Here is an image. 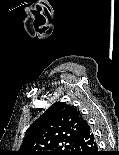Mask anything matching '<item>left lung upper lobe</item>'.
Returning a JSON list of instances; mask_svg holds the SVG:
<instances>
[{
    "instance_id": "obj_1",
    "label": "left lung upper lobe",
    "mask_w": 119,
    "mask_h": 155,
    "mask_svg": "<svg viewBox=\"0 0 119 155\" xmlns=\"http://www.w3.org/2000/svg\"><path fill=\"white\" fill-rule=\"evenodd\" d=\"M81 121L74 106L56 102L30 125L13 155H76Z\"/></svg>"
}]
</instances>
